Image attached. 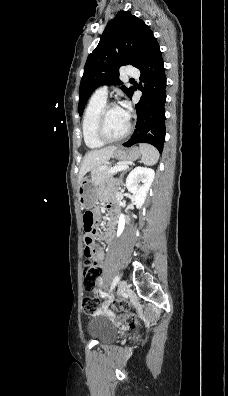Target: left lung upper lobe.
Instances as JSON below:
<instances>
[{
	"instance_id": "1",
	"label": "left lung upper lobe",
	"mask_w": 228,
	"mask_h": 396,
	"mask_svg": "<svg viewBox=\"0 0 228 396\" xmlns=\"http://www.w3.org/2000/svg\"><path fill=\"white\" fill-rule=\"evenodd\" d=\"M156 38L143 20L130 11H120L109 21L96 49L89 54L79 89L78 111L82 115L91 93L101 85L122 84L119 68L131 64L140 68ZM130 96L133 88L122 86Z\"/></svg>"
}]
</instances>
